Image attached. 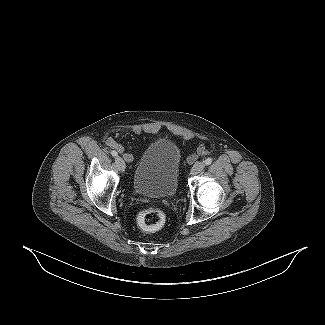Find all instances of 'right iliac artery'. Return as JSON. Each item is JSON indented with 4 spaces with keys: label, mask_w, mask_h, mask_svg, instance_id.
Listing matches in <instances>:
<instances>
[{
    "label": "right iliac artery",
    "mask_w": 325,
    "mask_h": 325,
    "mask_svg": "<svg viewBox=\"0 0 325 325\" xmlns=\"http://www.w3.org/2000/svg\"><path fill=\"white\" fill-rule=\"evenodd\" d=\"M111 154H112V156H114V157L118 155L116 151H111Z\"/></svg>",
    "instance_id": "82829eb1"
}]
</instances>
